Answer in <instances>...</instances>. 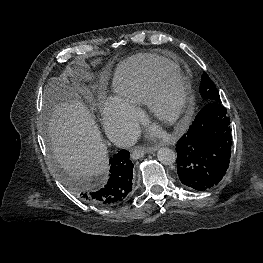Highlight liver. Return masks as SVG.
<instances>
[{
    "instance_id": "obj_1",
    "label": "liver",
    "mask_w": 263,
    "mask_h": 263,
    "mask_svg": "<svg viewBox=\"0 0 263 263\" xmlns=\"http://www.w3.org/2000/svg\"><path fill=\"white\" fill-rule=\"evenodd\" d=\"M51 102L48 132L51 149L60 166L77 180H89L107 168L108 151L86 105L64 80L46 88Z\"/></svg>"
}]
</instances>
